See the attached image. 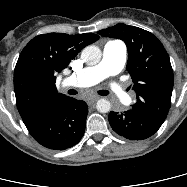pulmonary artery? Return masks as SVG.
<instances>
[{"label":"pulmonary artery","instance_id":"pulmonary-artery-1","mask_svg":"<svg viewBox=\"0 0 187 187\" xmlns=\"http://www.w3.org/2000/svg\"><path fill=\"white\" fill-rule=\"evenodd\" d=\"M126 53V46L123 42L108 41L104 45L101 61L97 65L86 67L65 79L64 86L88 87L118 74L125 65ZM110 88L119 99L127 97L126 92L119 84L111 83Z\"/></svg>","mask_w":187,"mask_h":187}]
</instances>
